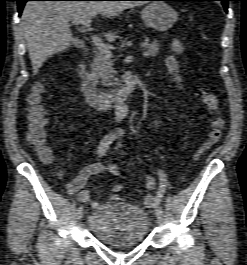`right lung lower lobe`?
<instances>
[{
    "label": "right lung lower lobe",
    "instance_id": "obj_1",
    "mask_svg": "<svg viewBox=\"0 0 247 265\" xmlns=\"http://www.w3.org/2000/svg\"><path fill=\"white\" fill-rule=\"evenodd\" d=\"M18 1L19 15L22 13V9L27 1H120V0H16Z\"/></svg>",
    "mask_w": 247,
    "mask_h": 265
}]
</instances>
